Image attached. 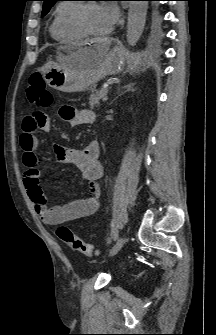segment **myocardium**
Returning <instances> with one entry per match:
<instances>
[{"label": "myocardium", "mask_w": 216, "mask_h": 335, "mask_svg": "<svg viewBox=\"0 0 216 335\" xmlns=\"http://www.w3.org/2000/svg\"><path fill=\"white\" fill-rule=\"evenodd\" d=\"M92 3L79 4L73 15L74 26L86 36L99 37L108 33V30L102 33L94 32L89 29L86 23V12Z\"/></svg>", "instance_id": "1"}]
</instances>
